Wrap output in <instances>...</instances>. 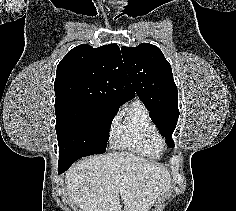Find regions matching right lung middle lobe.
Returning <instances> with one entry per match:
<instances>
[{
	"mask_svg": "<svg viewBox=\"0 0 236 211\" xmlns=\"http://www.w3.org/2000/svg\"><path fill=\"white\" fill-rule=\"evenodd\" d=\"M116 107L68 105L55 108L59 156L104 153Z\"/></svg>",
	"mask_w": 236,
	"mask_h": 211,
	"instance_id": "1",
	"label": "right lung middle lobe"
}]
</instances>
